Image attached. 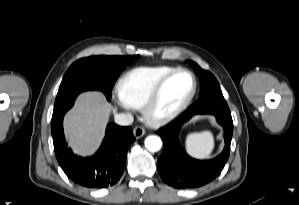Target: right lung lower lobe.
<instances>
[{"instance_id": "98d812e1", "label": "right lung lower lobe", "mask_w": 299, "mask_h": 205, "mask_svg": "<svg viewBox=\"0 0 299 205\" xmlns=\"http://www.w3.org/2000/svg\"><path fill=\"white\" fill-rule=\"evenodd\" d=\"M73 104L74 101L53 112L51 132L58 163L65 174L81 186L94 189L112 186L124 171L128 147L135 140L133 132L130 127L110 123L94 156H76L67 148L63 131V117Z\"/></svg>"}]
</instances>
